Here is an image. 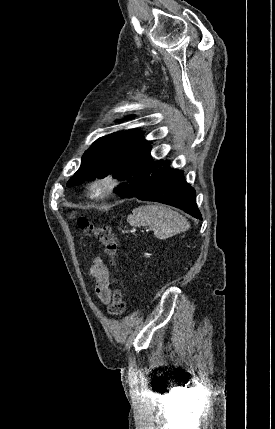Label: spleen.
<instances>
[{"label": "spleen", "mask_w": 275, "mask_h": 429, "mask_svg": "<svg viewBox=\"0 0 275 429\" xmlns=\"http://www.w3.org/2000/svg\"><path fill=\"white\" fill-rule=\"evenodd\" d=\"M127 222L131 226H149L158 239H167L189 228L185 217L163 205L139 206L133 209Z\"/></svg>", "instance_id": "3e777b00"}]
</instances>
